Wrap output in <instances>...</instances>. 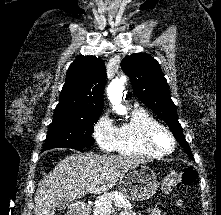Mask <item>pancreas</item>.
I'll list each match as a JSON object with an SVG mask.
<instances>
[{"label":"pancreas","mask_w":221,"mask_h":215,"mask_svg":"<svg viewBox=\"0 0 221 215\" xmlns=\"http://www.w3.org/2000/svg\"><path fill=\"white\" fill-rule=\"evenodd\" d=\"M112 204L117 208H133L121 193L109 192L99 197L98 204L94 206L93 215H108V212L113 209Z\"/></svg>","instance_id":"pancreas-1"}]
</instances>
